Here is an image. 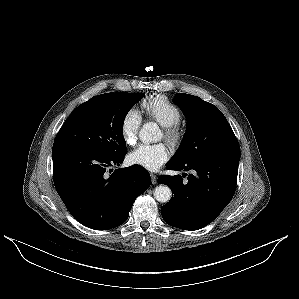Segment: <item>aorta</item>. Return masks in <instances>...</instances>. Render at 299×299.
<instances>
[{
  "instance_id": "1",
  "label": "aorta",
  "mask_w": 299,
  "mask_h": 299,
  "mask_svg": "<svg viewBox=\"0 0 299 299\" xmlns=\"http://www.w3.org/2000/svg\"><path fill=\"white\" fill-rule=\"evenodd\" d=\"M139 137L145 143L156 142L161 137L158 125L154 122L145 123L139 132ZM171 195V189L166 185H159L154 190L155 199L161 203L169 202Z\"/></svg>"
}]
</instances>
